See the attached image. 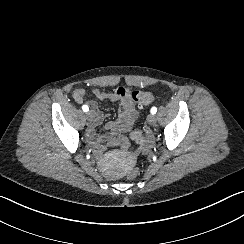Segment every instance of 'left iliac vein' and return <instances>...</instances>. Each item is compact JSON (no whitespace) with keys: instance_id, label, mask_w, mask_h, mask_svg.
<instances>
[{"instance_id":"obj_1","label":"left iliac vein","mask_w":244,"mask_h":244,"mask_svg":"<svg viewBox=\"0 0 244 244\" xmlns=\"http://www.w3.org/2000/svg\"><path fill=\"white\" fill-rule=\"evenodd\" d=\"M156 121H157V118H156V116L154 114H149L147 116V122H148V124L155 125Z\"/></svg>"}]
</instances>
